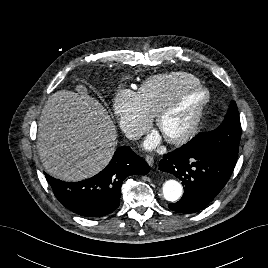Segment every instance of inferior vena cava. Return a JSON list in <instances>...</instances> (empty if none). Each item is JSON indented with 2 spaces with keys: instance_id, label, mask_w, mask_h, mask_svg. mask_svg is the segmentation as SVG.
<instances>
[{
  "instance_id": "602c4592",
  "label": "inferior vena cava",
  "mask_w": 268,
  "mask_h": 268,
  "mask_svg": "<svg viewBox=\"0 0 268 268\" xmlns=\"http://www.w3.org/2000/svg\"><path fill=\"white\" fill-rule=\"evenodd\" d=\"M126 136L131 140H136L140 137V133L134 129H127Z\"/></svg>"
}]
</instances>
